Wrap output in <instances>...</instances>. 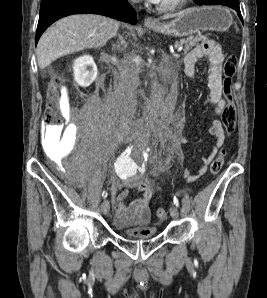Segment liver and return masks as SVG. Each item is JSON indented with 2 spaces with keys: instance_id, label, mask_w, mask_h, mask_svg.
Here are the masks:
<instances>
[{
  "instance_id": "6515ba94",
  "label": "liver",
  "mask_w": 267,
  "mask_h": 298,
  "mask_svg": "<svg viewBox=\"0 0 267 298\" xmlns=\"http://www.w3.org/2000/svg\"><path fill=\"white\" fill-rule=\"evenodd\" d=\"M166 15L163 19L176 17ZM119 28L116 20L100 15H71L59 20L41 36L37 45V61L45 69L56 59L85 49L104 46Z\"/></svg>"
}]
</instances>
